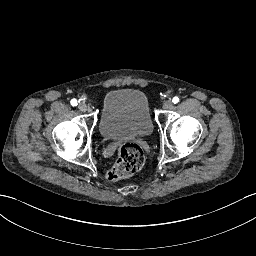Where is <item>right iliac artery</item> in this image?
I'll return each instance as SVG.
<instances>
[{
	"label": "right iliac artery",
	"instance_id": "1",
	"mask_svg": "<svg viewBox=\"0 0 256 256\" xmlns=\"http://www.w3.org/2000/svg\"><path fill=\"white\" fill-rule=\"evenodd\" d=\"M71 105L72 106H77L78 105L77 100L76 99H72L71 100Z\"/></svg>",
	"mask_w": 256,
	"mask_h": 256
}]
</instances>
